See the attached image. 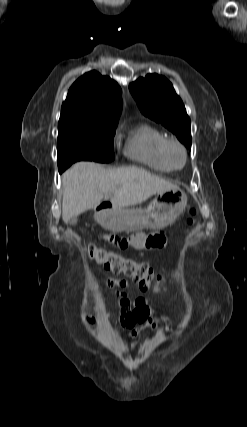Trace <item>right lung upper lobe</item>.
<instances>
[{
    "label": "right lung upper lobe",
    "mask_w": 247,
    "mask_h": 427,
    "mask_svg": "<svg viewBox=\"0 0 247 427\" xmlns=\"http://www.w3.org/2000/svg\"><path fill=\"white\" fill-rule=\"evenodd\" d=\"M121 88L107 76L91 71L70 87L61 116L74 115L100 124H118Z\"/></svg>",
    "instance_id": "right-lung-upper-lobe-1"
}]
</instances>
